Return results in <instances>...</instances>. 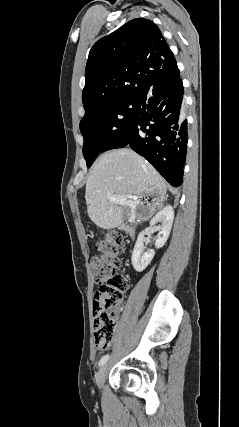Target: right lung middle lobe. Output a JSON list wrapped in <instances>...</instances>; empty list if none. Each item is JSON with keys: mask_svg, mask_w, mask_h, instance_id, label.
<instances>
[{"mask_svg": "<svg viewBox=\"0 0 239 427\" xmlns=\"http://www.w3.org/2000/svg\"><path fill=\"white\" fill-rule=\"evenodd\" d=\"M135 103V98L108 100L85 112L80 131L84 138L83 155L88 167L100 152L119 148L128 140Z\"/></svg>", "mask_w": 239, "mask_h": 427, "instance_id": "right-lung-middle-lobe-1", "label": "right lung middle lobe"}]
</instances>
